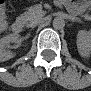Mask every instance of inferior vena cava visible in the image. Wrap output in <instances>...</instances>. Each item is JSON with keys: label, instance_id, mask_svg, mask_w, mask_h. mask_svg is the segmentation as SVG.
Returning <instances> with one entry per match:
<instances>
[{"label": "inferior vena cava", "instance_id": "inferior-vena-cava-1", "mask_svg": "<svg viewBox=\"0 0 91 91\" xmlns=\"http://www.w3.org/2000/svg\"><path fill=\"white\" fill-rule=\"evenodd\" d=\"M42 22V18H36L33 22H31L30 24H28V27H35L37 24Z\"/></svg>", "mask_w": 91, "mask_h": 91}]
</instances>
